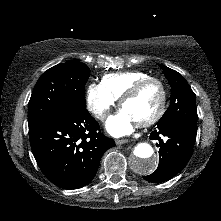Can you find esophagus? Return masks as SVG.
<instances>
[{
	"instance_id": "34e87169",
	"label": "esophagus",
	"mask_w": 221,
	"mask_h": 221,
	"mask_svg": "<svg viewBox=\"0 0 221 221\" xmlns=\"http://www.w3.org/2000/svg\"><path fill=\"white\" fill-rule=\"evenodd\" d=\"M129 141H130L129 139H117L116 140V144L117 145H121V144H125V143H127Z\"/></svg>"
}]
</instances>
